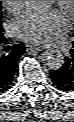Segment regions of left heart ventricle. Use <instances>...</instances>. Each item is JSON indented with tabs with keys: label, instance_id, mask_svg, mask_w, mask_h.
<instances>
[{
	"label": "left heart ventricle",
	"instance_id": "b2bd125f",
	"mask_svg": "<svg viewBox=\"0 0 74 122\" xmlns=\"http://www.w3.org/2000/svg\"><path fill=\"white\" fill-rule=\"evenodd\" d=\"M63 14L68 18L69 14L66 10H63Z\"/></svg>",
	"mask_w": 74,
	"mask_h": 122
}]
</instances>
